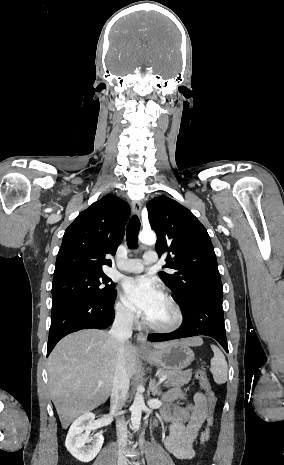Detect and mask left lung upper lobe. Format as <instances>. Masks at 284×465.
I'll use <instances>...</instances> for the list:
<instances>
[{"label": "left lung upper lobe", "mask_w": 284, "mask_h": 465, "mask_svg": "<svg viewBox=\"0 0 284 465\" xmlns=\"http://www.w3.org/2000/svg\"><path fill=\"white\" fill-rule=\"evenodd\" d=\"M151 228L157 233L159 256L168 253L164 268L173 274L159 276L180 303L199 296L222 298L223 287L217 259L207 230L190 210L166 196L147 203Z\"/></svg>", "instance_id": "1"}]
</instances>
